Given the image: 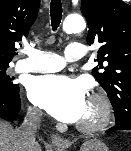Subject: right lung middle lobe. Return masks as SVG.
<instances>
[{
  "instance_id": "right-lung-middle-lobe-1",
  "label": "right lung middle lobe",
  "mask_w": 131,
  "mask_h": 151,
  "mask_svg": "<svg viewBox=\"0 0 131 151\" xmlns=\"http://www.w3.org/2000/svg\"><path fill=\"white\" fill-rule=\"evenodd\" d=\"M9 64H0V91H13L19 85L13 82L14 77H10L6 74V69Z\"/></svg>"
}]
</instances>
